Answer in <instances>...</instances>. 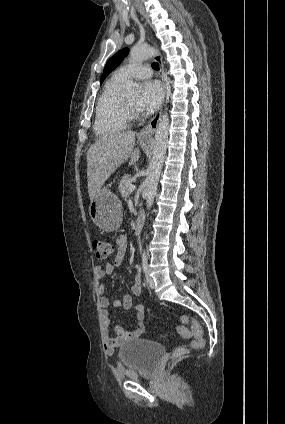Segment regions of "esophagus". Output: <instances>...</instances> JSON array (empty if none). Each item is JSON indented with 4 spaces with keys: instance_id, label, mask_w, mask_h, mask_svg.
<instances>
[{
    "instance_id": "34e87169",
    "label": "esophagus",
    "mask_w": 285,
    "mask_h": 424,
    "mask_svg": "<svg viewBox=\"0 0 285 424\" xmlns=\"http://www.w3.org/2000/svg\"><path fill=\"white\" fill-rule=\"evenodd\" d=\"M152 45L155 47V43L150 40ZM154 59L157 61V63L159 64V68H160V77L162 80V84H163V90H164V95L166 94V85H165V80H164V66H163V62L161 59V56L159 54L158 51H156L155 55H154ZM161 113H162V108L156 113V115L148 122V124L141 129V131L139 132V136L141 137H151L158 126L160 117H161Z\"/></svg>"
}]
</instances>
